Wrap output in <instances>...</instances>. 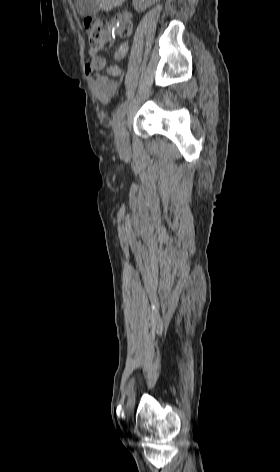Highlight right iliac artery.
I'll list each match as a JSON object with an SVG mask.
<instances>
[{"instance_id": "1", "label": "right iliac artery", "mask_w": 280, "mask_h": 472, "mask_svg": "<svg viewBox=\"0 0 280 472\" xmlns=\"http://www.w3.org/2000/svg\"><path fill=\"white\" fill-rule=\"evenodd\" d=\"M127 107V102L122 103L113 115V130L117 132L121 119L123 118Z\"/></svg>"}]
</instances>
